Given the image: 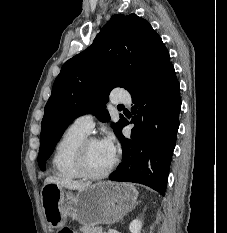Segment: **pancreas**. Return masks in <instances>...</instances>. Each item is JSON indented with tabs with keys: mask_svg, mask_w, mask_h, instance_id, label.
<instances>
[{
	"mask_svg": "<svg viewBox=\"0 0 227 233\" xmlns=\"http://www.w3.org/2000/svg\"><path fill=\"white\" fill-rule=\"evenodd\" d=\"M80 229L83 233H102L101 227L92 226L90 224H84Z\"/></svg>",
	"mask_w": 227,
	"mask_h": 233,
	"instance_id": "pancreas-1",
	"label": "pancreas"
}]
</instances>
